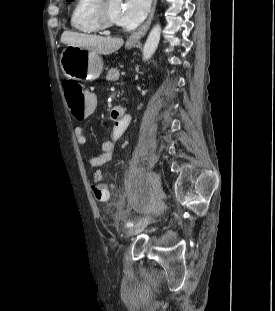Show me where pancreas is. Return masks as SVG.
Masks as SVG:
<instances>
[{"mask_svg": "<svg viewBox=\"0 0 275 311\" xmlns=\"http://www.w3.org/2000/svg\"><path fill=\"white\" fill-rule=\"evenodd\" d=\"M119 79V70L117 68H112L108 71L106 80L117 81Z\"/></svg>", "mask_w": 275, "mask_h": 311, "instance_id": "obj_1", "label": "pancreas"}]
</instances>
